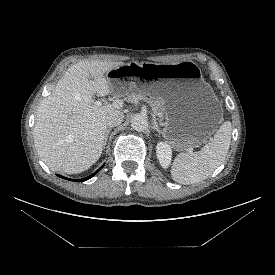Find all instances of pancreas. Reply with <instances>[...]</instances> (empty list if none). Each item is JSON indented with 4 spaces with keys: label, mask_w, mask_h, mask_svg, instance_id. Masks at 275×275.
<instances>
[{
    "label": "pancreas",
    "mask_w": 275,
    "mask_h": 275,
    "mask_svg": "<svg viewBox=\"0 0 275 275\" xmlns=\"http://www.w3.org/2000/svg\"><path fill=\"white\" fill-rule=\"evenodd\" d=\"M139 100L146 101L151 107L153 112L158 115V117L162 120L164 118V111H163V100L155 99V98H148L146 95L141 93H131L127 97L128 102H137Z\"/></svg>",
    "instance_id": "obj_1"
}]
</instances>
